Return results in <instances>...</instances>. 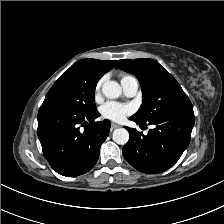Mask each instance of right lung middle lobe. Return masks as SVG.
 I'll return each instance as SVG.
<instances>
[{"instance_id": "obj_1", "label": "right lung middle lobe", "mask_w": 224, "mask_h": 224, "mask_svg": "<svg viewBox=\"0 0 224 224\" xmlns=\"http://www.w3.org/2000/svg\"><path fill=\"white\" fill-rule=\"evenodd\" d=\"M102 76L77 63L66 70L53 84L43 103L70 108L79 113L97 111L95 87Z\"/></svg>"}]
</instances>
